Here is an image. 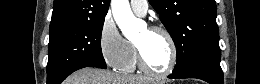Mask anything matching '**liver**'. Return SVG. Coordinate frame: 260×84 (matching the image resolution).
<instances>
[{
	"instance_id": "liver-1",
	"label": "liver",
	"mask_w": 260,
	"mask_h": 84,
	"mask_svg": "<svg viewBox=\"0 0 260 84\" xmlns=\"http://www.w3.org/2000/svg\"><path fill=\"white\" fill-rule=\"evenodd\" d=\"M67 84H152V80L140 75H120L108 70L83 68L74 72Z\"/></svg>"
}]
</instances>
